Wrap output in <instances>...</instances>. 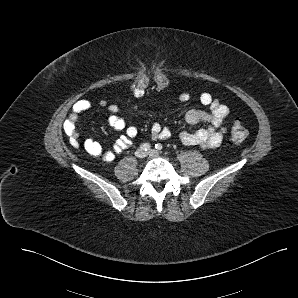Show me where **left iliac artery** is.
<instances>
[{
    "instance_id": "left-iliac-artery-1",
    "label": "left iliac artery",
    "mask_w": 298,
    "mask_h": 298,
    "mask_svg": "<svg viewBox=\"0 0 298 298\" xmlns=\"http://www.w3.org/2000/svg\"><path fill=\"white\" fill-rule=\"evenodd\" d=\"M155 148L157 149V150H162V148H163V146H162V144L161 143H157L156 145H155Z\"/></svg>"
}]
</instances>
